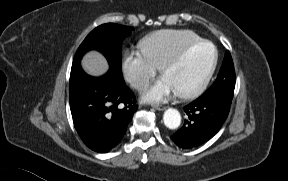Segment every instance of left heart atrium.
<instances>
[{
	"label": "left heart atrium",
	"instance_id": "obj_1",
	"mask_svg": "<svg viewBox=\"0 0 288 181\" xmlns=\"http://www.w3.org/2000/svg\"><path fill=\"white\" fill-rule=\"evenodd\" d=\"M174 92L172 86L162 77L147 90L144 98L149 101H162Z\"/></svg>",
	"mask_w": 288,
	"mask_h": 181
}]
</instances>
